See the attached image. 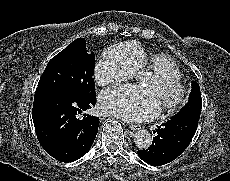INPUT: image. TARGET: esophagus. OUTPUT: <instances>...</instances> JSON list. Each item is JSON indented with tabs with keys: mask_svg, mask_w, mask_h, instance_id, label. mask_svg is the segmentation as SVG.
Returning a JSON list of instances; mask_svg holds the SVG:
<instances>
[{
	"mask_svg": "<svg viewBox=\"0 0 230 181\" xmlns=\"http://www.w3.org/2000/svg\"><path fill=\"white\" fill-rule=\"evenodd\" d=\"M131 130L136 131L141 129V125L139 124H129Z\"/></svg>",
	"mask_w": 230,
	"mask_h": 181,
	"instance_id": "obj_1",
	"label": "esophagus"
}]
</instances>
